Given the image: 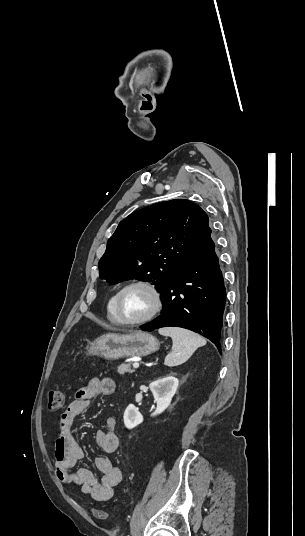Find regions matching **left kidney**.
I'll list each match as a JSON object with an SVG mask.
<instances>
[{
	"mask_svg": "<svg viewBox=\"0 0 305 536\" xmlns=\"http://www.w3.org/2000/svg\"><path fill=\"white\" fill-rule=\"evenodd\" d=\"M179 380L168 374L164 378H159L156 382H151L149 388L154 396V400L157 404V408L151 416H158L162 414L168 406L171 404V400L178 388ZM143 422V416L140 414L138 408H135L134 404H129L124 412V424L126 428H135L138 424Z\"/></svg>",
	"mask_w": 305,
	"mask_h": 536,
	"instance_id": "5707ae66",
	"label": "left kidney"
}]
</instances>
